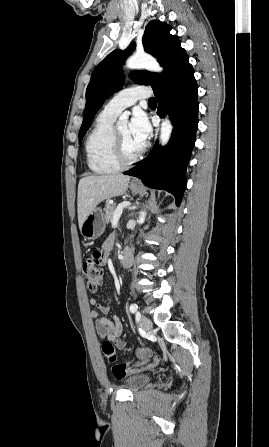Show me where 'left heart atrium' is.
Segmentation results:
<instances>
[{
	"label": "left heart atrium",
	"instance_id": "left-heart-atrium-1",
	"mask_svg": "<svg viewBox=\"0 0 269 447\" xmlns=\"http://www.w3.org/2000/svg\"><path fill=\"white\" fill-rule=\"evenodd\" d=\"M130 131L132 136L141 143H145L149 138L151 134V127L146 115L142 111L136 110L133 113Z\"/></svg>",
	"mask_w": 269,
	"mask_h": 447
}]
</instances>
